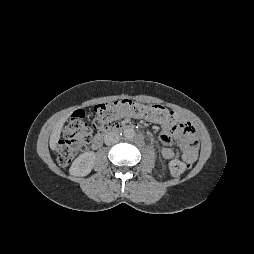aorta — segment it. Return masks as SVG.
Returning a JSON list of instances; mask_svg holds the SVG:
<instances>
[{
    "mask_svg": "<svg viewBox=\"0 0 254 254\" xmlns=\"http://www.w3.org/2000/svg\"><path fill=\"white\" fill-rule=\"evenodd\" d=\"M135 136V131L132 128H127L124 130V137L127 139H132Z\"/></svg>",
    "mask_w": 254,
    "mask_h": 254,
    "instance_id": "obj_1",
    "label": "aorta"
}]
</instances>
